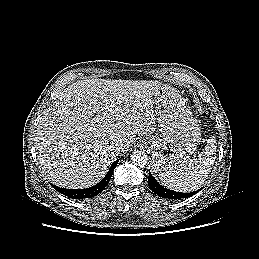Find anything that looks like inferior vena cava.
I'll return each mask as SVG.
<instances>
[{"label": "inferior vena cava", "mask_w": 259, "mask_h": 259, "mask_svg": "<svg viewBox=\"0 0 259 259\" xmlns=\"http://www.w3.org/2000/svg\"><path fill=\"white\" fill-rule=\"evenodd\" d=\"M121 147H122V144H119V143L113 144V145L111 146L112 150H114V151L120 149Z\"/></svg>", "instance_id": "1"}]
</instances>
